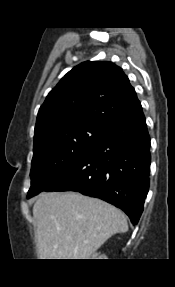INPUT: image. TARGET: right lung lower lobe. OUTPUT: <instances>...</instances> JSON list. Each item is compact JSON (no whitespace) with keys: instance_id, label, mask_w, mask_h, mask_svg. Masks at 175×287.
<instances>
[{"instance_id":"98d812e1","label":"right lung lower lobe","mask_w":175,"mask_h":287,"mask_svg":"<svg viewBox=\"0 0 175 287\" xmlns=\"http://www.w3.org/2000/svg\"><path fill=\"white\" fill-rule=\"evenodd\" d=\"M150 163V136L141 108L110 125L82 158L41 191H76L100 198L122 209L135 225L149 190Z\"/></svg>"}]
</instances>
